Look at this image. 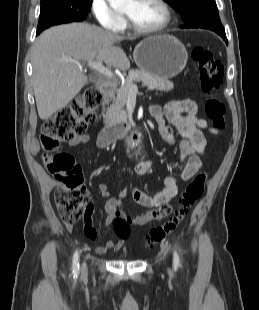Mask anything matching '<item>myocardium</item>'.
<instances>
[{
    "instance_id": "1",
    "label": "myocardium",
    "mask_w": 259,
    "mask_h": 310,
    "mask_svg": "<svg viewBox=\"0 0 259 310\" xmlns=\"http://www.w3.org/2000/svg\"><path fill=\"white\" fill-rule=\"evenodd\" d=\"M156 1L161 5V7L164 10L163 21L156 27L142 28L136 25L128 15L124 14L127 24L132 31L142 35L156 34L162 32L171 24L173 15L169 3L166 0H156Z\"/></svg>"
}]
</instances>
